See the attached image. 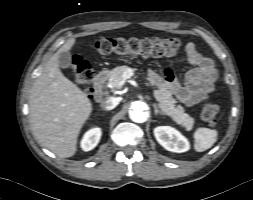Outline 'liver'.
Here are the masks:
<instances>
[{
	"instance_id": "obj_1",
	"label": "liver",
	"mask_w": 253,
	"mask_h": 200,
	"mask_svg": "<svg viewBox=\"0 0 253 200\" xmlns=\"http://www.w3.org/2000/svg\"><path fill=\"white\" fill-rule=\"evenodd\" d=\"M74 44V38L67 40L44 65L29 100L38 141L62 158L76 153L79 133L92 112L88 96L59 69L60 54L69 52Z\"/></svg>"
}]
</instances>
